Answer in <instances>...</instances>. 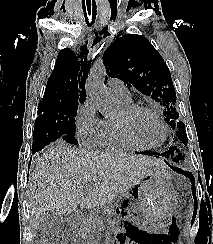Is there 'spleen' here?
Segmentation results:
<instances>
[{
    "label": "spleen",
    "instance_id": "spleen-1",
    "mask_svg": "<svg viewBox=\"0 0 213 244\" xmlns=\"http://www.w3.org/2000/svg\"><path fill=\"white\" fill-rule=\"evenodd\" d=\"M192 216H193V205L191 203L189 206L188 214H187V221H186V227H185L186 234H188Z\"/></svg>",
    "mask_w": 213,
    "mask_h": 244
}]
</instances>
